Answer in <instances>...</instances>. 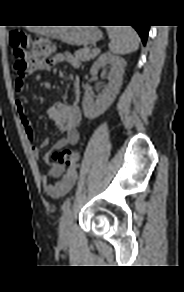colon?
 <instances>
[{"label":"colon","mask_w":184,"mask_h":292,"mask_svg":"<svg viewBox=\"0 0 184 292\" xmlns=\"http://www.w3.org/2000/svg\"><path fill=\"white\" fill-rule=\"evenodd\" d=\"M28 41L27 35L23 32L12 31L10 34V46L14 58V72L19 76L26 74L33 63L49 58L54 50L49 40L40 38L34 42L32 55L29 58L26 51ZM50 158L54 163L63 166H72L77 164L79 154L70 149H61L52 151Z\"/></svg>","instance_id":"1"}]
</instances>
